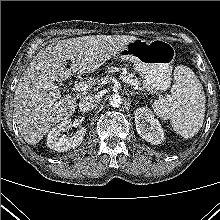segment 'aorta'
Returning a JSON list of instances; mask_svg holds the SVG:
<instances>
[{"label": "aorta", "mask_w": 220, "mask_h": 220, "mask_svg": "<svg viewBox=\"0 0 220 220\" xmlns=\"http://www.w3.org/2000/svg\"><path fill=\"white\" fill-rule=\"evenodd\" d=\"M110 105L118 108L122 104V98L119 94H113L109 99Z\"/></svg>", "instance_id": "1"}]
</instances>
